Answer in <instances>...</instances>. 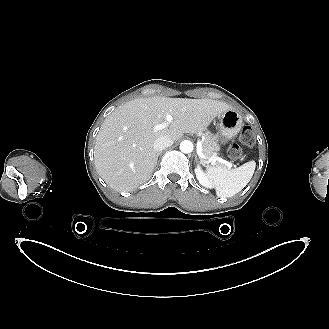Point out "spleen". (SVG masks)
<instances>
[{
	"label": "spleen",
	"instance_id": "obj_1",
	"mask_svg": "<svg viewBox=\"0 0 329 329\" xmlns=\"http://www.w3.org/2000/svg\"><path fill=\"white\" fill-rule=\"evenodd\" d=\"M255 167L256 162L253 160L234 169L210 166L207 168V176L213 183L218 197H232L249 183Z\"/></svg>",
	"mask_w": 329,
	"mask_h": 329
}]
</instances>
